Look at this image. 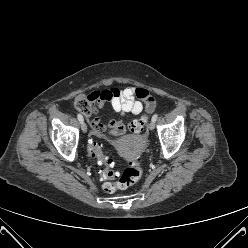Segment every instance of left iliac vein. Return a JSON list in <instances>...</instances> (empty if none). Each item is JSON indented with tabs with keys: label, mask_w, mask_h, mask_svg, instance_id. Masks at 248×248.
<instances>
[{
	"label": "left iliac vein",
	"mask_w": 248,
	"mask_h": 248,
	"mask_svg": "<svg viewBox=\"0 0 248 248\" xmlns=\"http://www.w3.org/2000/svg\"><path fill=\"white\" fill-rule=\"evenodd\" d=\"M155 128V122L151 120V122L149 123V129L152 131Z\"/></svg>",
	"instance_id": "4c4485c4"
}]
</instances>
